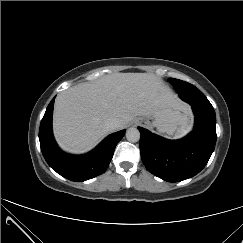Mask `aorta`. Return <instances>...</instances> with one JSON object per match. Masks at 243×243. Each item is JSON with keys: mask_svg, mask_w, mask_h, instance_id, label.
I'll return each instance as SVG.
<instances>
[{"mask_svg": "<svg viewBox=\"0 0 243 243\" xmlns=\"http://www.w3.org/2000/svg\"><path fill=\"white\" fill-rule=\"evenodd\" d=\"M126 138L129 142H138L140 139V132L137 128H129L126 131Z\"/></svg>", "mask_w": 243, "mask_h": 243, "instance_id": "762f6f07", "label": "aorta"}]
</instances>
